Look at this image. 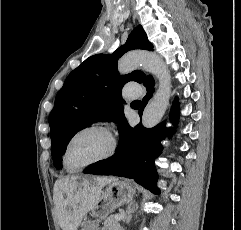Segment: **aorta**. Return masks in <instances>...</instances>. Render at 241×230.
<instances>
[{"label":"aorta","mask_w":241,"mask_h":230,"mask_svg":"<svg viewBox=\"0 0 241 230\" xmlns=\"http://www.w3.org/2000/svg\"><path fill=\"white\" fill-rule=\"evenodd\" d=\"M138 66H142L159 80V88L142 115V125L145 128H152L160 122L169 105L171 76L167 66L159 56L141 51L124 55L118 62V72L122 75L128 74Z\"/></svg>","instance_id":"1"}]
</instances>
